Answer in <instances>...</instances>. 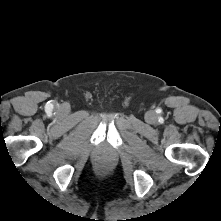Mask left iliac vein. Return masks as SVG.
<instances>
[{
    "mask_svg": "<svg viewBox=\"0 0 221 221\" xmlns=\"http://www.w3.org/2000/svg\"><path fill=\"white\" fill-rule=\"evenodd\" d=\"M154 119H155V114H154V112H149V113L146 115V120H147V122H153Z\"/></svg>",
    "mask_w": 221,
    "mask_h": 221,
    "instance_id": "obj_1",
    "label": "left iliac vein"
}]
</instances>
